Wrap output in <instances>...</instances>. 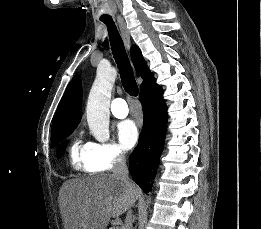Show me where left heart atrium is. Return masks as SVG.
Masks as SVG:
<instances>
[{
	"label": "left heart atrium",
	"mask_w": 261,
	"mask_h": 229,
	"mask_svg": "<svg viewBox=\"0 0 261 229\" xmlns=\"http://www.w3.org/2000/svg\"><path fill=\"white\" fill-rule=\"evenodd\" d=\"M117 135L121 146L129 150L133 148L138 141V127L132 120L123 121L119 123L117 127Z\"/></svg>",
	"instance_id": "obj_1"
}]
</instances>
